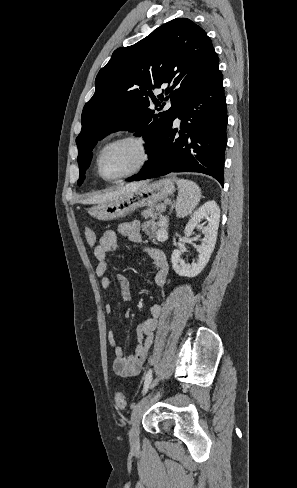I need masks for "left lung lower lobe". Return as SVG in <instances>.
<instances>
[{
  "label": "left lung lower lobe",
  "instance_id": "1",
  "mask_svg": "<svg viewBox=\"0 0 297 488\" xmlns=\"http://www.w3.org/2000/svg\"><path fill=\"white\" fill-rule=\"evenodd\" d=\"M179 137L172 126L156 156L138 174L144 180L170 172H199L224 185V152L227 144L226 98L223 76L218 75L179 111Z\"/></svg>",
  "mask_w": 297,
  "mask_h": 488
}]
</instances>
